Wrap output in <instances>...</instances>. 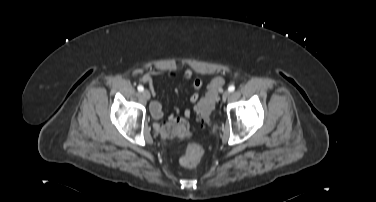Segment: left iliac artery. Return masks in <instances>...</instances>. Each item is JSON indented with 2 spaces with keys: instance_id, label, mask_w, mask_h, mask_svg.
I'll return each instance as SVG.
<instances>
[{
  "instance_id": "44dca946",
  "label": "left iliac artery",
  "mask_w": 376,
  "mask_h": 202,
  "mask_svg": "<svg viewBox=\"0 0 376 202\" xmlns=\"http://www.w3.org/2000/svg\"><path fill=\"white\" fill-rule=\"evenodd\" d=\"M235 90V86L234 85H230L229 88H228V91L229 92H233Z\"/></svg>"
}]
</instances>
